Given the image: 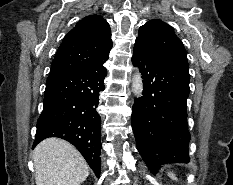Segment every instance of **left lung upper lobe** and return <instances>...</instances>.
Listing matches in <instances>:
<instances>
[{"instance_id": "5c2ea615", "label": "left lung upper lobe", "mask_w": 233, "mask_h": 185, "mask_svg": "<svg viewBox=\"0 0 233 185\" xmlns=\"http://www.w3.org/2000/svg\"><path fill=\"white\" fill-rule=\"evenodd\" d=\"M136 41L158 54L188 64L183 43L173 28L161 20H150L141 26Z\"/></svg>"}]
</instances>
